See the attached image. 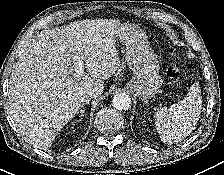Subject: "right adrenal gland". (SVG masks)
Instances as JSON below:
<instances>
[{
    "label": "right adrenal gland",
    "instance_id": "2a0ac1e0",
    "mask_svg": "<svg viewBox=\"0 0 224 175\" xmlns=\"http://www.w3.org/2000/svg\"><path fill=\"white\" fill-rule=\"evenodd\" d=\"M84 105H85V104H82V105H81V107H80V111L78 112V113L80 114V117H82V116L85 115V114H84V112H85V111H84Z\"/></svg>",
    "mask_w": 224,
    "mask_h": 175
}]
</instances>
